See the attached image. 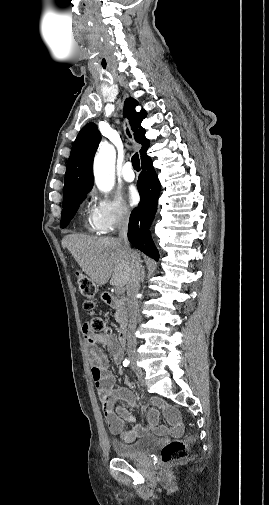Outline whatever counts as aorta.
<instances>
[{
  "label": "aorta",
  "mask_w": 269,
  "mask_h": 505,
  "mask_svg": "<svg viewBox=\"0 0 269 505\" xmlns=\"http://www.w3.org/2000/svg\"><path fill=\"white\" fill-rule=\"evenodd\" d=\"M115 159L116 151L111 144L101 145L94 158L95 183L104 193L110 192L115 184Z\"/></svg>",
  "instance_id": "obj_1"
}]
</instances>
